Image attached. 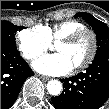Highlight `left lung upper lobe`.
I'll list each match as a JSON object with an SVG mask.
<instances>
[{"label": "left lung upper lobe", "mask_w": 109, "mask_h": 109, "mask_svg": "<svg viewBox=\"0 0 109 109\" xmlns=\"http://www.w3.org/2000/svg\"><path fill=\"white\" fill-rule=\"evenodd\" d=\"M82 17L87 23L91 25L93 28L96 38H97V52L96 54L109 51V28L108 26L94 18L92 15L85 13V12H80L75 15V17ZM80 90H75L70 92L71 97H77V94Z\"/></svg>", "instance_id": "1"}]
</instances>
